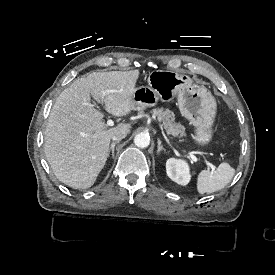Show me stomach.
Segmentation results:
<instances>
[{
  "label": "stomach",
  "instance_id": "stomach-1",
  "mask_svg": "<svg viewBox=\"0 0 275 275\" xmlns=\"http://www.w3.org/2000/svg\"><path fill=\"white\" fill-rule=\"evenodd\" d=\"M148 86L137 87L132 96L136 110L170 102L177 97L181 115L193 125L192 143L197 148L208 146L214 137L217 101L211 91L196 85L185 74L149 68L144 73Z\"/></svg>",
  "mask_w": 275,
  "mask_h": 275
}]
</instances>
